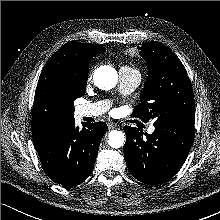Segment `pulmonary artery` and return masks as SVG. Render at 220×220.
<instances>
[{"mask_svg": "<svg viewBox=\"0 0 220 220\" xmlns=\"http://www.w3.org/2000/svg\"><path fill=\"white\" fill-rule=\"evenodd\" d=\"M141 81L138 71L123 67L119 71V89L123 95L132 93ZM110 104L107 101H99L96 103L85 104L79 107V115L82 117H96L107 111ZM154 127L150 126L148 132L152 133Z\"/></svg>", "mask_w": 220, "mask_h": 220, "instance_id": "pulmonary-artery-1", "label": "pulmonary artery"}]
</instances>
